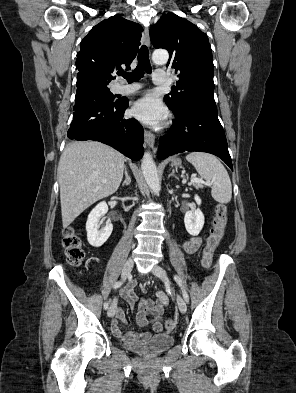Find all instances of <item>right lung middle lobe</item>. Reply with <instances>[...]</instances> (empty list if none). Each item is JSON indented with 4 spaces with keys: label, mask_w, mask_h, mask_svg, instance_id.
Returning a JSON list of instances; mask_svg holds the SVG:
<instances>
[{
    "label": "right lung middle lobe",
    "mask_w": 296,
    "mask_h": 393,
    "mask_svg": "<svg viewBox=\"0 0 296 393\" xmlns=\"http://www.w3.org/2000/svg\"><path fill=\"white\" fill-rule=\"evenodd\" d=\"M89 78H90L91 81L96 85V87H97L98 89H100V90L104 93V95H105L108 99H110V100H114V99H115V95H113V94L110 92L109 88H108L109 82L104 81V80H101V79H98V78H95V77H89Z\"/></svg>",
    "instance_id": "1"
}]
</instances>
